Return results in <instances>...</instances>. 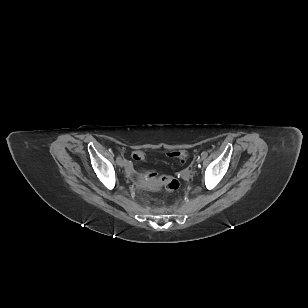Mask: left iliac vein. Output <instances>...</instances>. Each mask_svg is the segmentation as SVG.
I'll return each mask as SVG.
<instances>
[{
  "mask_svg": "<svg viewBox=\"0 0 308 308\" xmlns=\"http://www.w3.org/2000/svg\"><path fill=\"white\" fill-rule=\"evenodd\" d=\"M202 161V157H199L198 159H197V162H201Z\"/></svg>",
  "mask_w": 308,
  "mask_h": 308,
  "instance_id": "1",
  "label": "left iliac vein"
}]
</instances>
